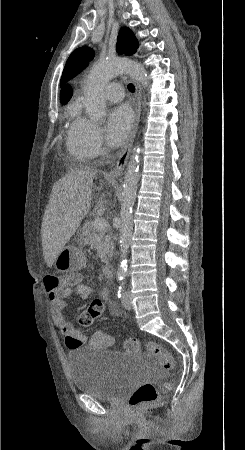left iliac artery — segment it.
I'll list each match as a JSON object with an SVG mask.
<instances>
[{
	"mask_svg": "<svg viewBox=\"0 0 245 450\" xmlns=\"http://www.w3.org/2000/svg\"><path fill=\"white\" fill-rule=\"evenodd\" d=\"M123 291H124V282H122L120 284L119 288H118V291H117V297L118 298L122 297Z\"/></svg>",
	"mask_w": 245,
	"mask_h": 450,
	"instance_id": "left-iliac-artery-1",
	"label": "left iliac artery"
}]
</instances>
